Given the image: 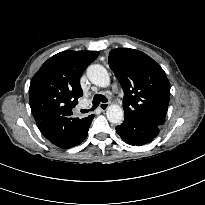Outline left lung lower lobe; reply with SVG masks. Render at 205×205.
<instances>
[{"instance_id":"left-lung-lower-lobe-1","label":"left lung lower lobe","mask_w":205,"mask_h":205,"mask_svg":"<svg viewBox=\"0 0 205 205\" xmlns=\"http://www.w3.org/2000/svg\"><path fill=\"white\" fill-rule=\"evenodd\" d=\"M117 134L129 145L142 146L151 142L159 133V126L141 119L124 117L116 126Z\"/></svg>"}]
</instances>
